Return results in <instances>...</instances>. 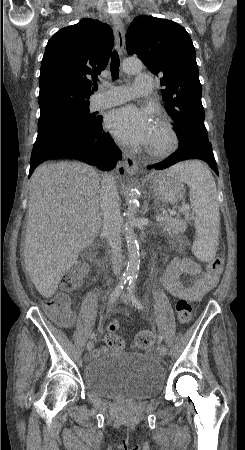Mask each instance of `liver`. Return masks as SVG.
<instances>
[{
    "label": "liver",
    "instance_id": "liver-1",
    "mask_svg": "<svg viewBox=\"0 0 245 450\" xmlns=\"http://www.w3.org/2000/svg\"><path fill=\"white\" fill-rule=\"evenodd\" d=\"M101 178L80 162L45 163L31 177L24 262L37 291L53 296L100 232Z\"/></svg>",
    "mask_w": 245,
    "mask_h": 450
}]
</instances>
